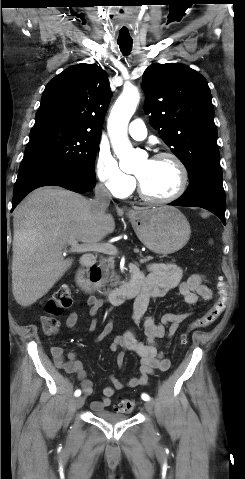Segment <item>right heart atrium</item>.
<instances>
[{"label":"right heart atrium","mask_w":245,"mask_h":479,"mask_svg":"<svg viewBox=\"0 0 245 479\" xmlns=\"http://www.w3.org/2000/svg\"><path fill=\"white\" fill-rule=\"evenodd\" d=\"M96 175L99 183L112 196L123 198L131 193L134 177L125 173L110 150L100 147L96 157Z\"/></svg>","instance_id":"1"}]
</instances>
